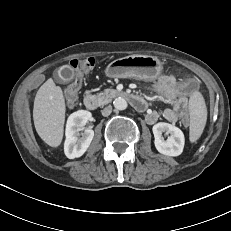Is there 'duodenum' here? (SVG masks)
Instances as JSON below:
<instances>
[{
  "label": "duodenum",
  "instance_id": "duodenum-1",
  "mask_svg": "<svg viewBox=\"0 0 231 231\" xmlns=\"http://www.w3.org/2000/svg\"><path fill=\"white\" fill-rule=\"evenodd\" d=\"M110 94L114 97H122L129 101V103L137 110V111H145L147 107L146 101L140 97L139 95H136L134 93L125 91V90H112ZM84 105L85 108L89 111H93L98 107V100L97 98L92 94H87L84 97Z\"/></svg>",
  "mask_w": 231,
  "mask_h": 231
}]
</instances>
